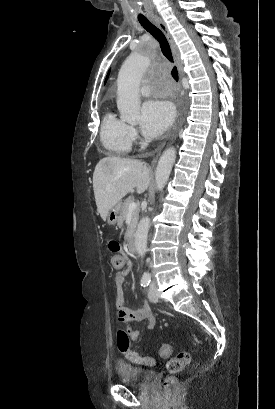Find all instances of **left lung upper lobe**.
Instances as JSON below:
<instances>
[{"mask_svg": "<svg viewBox=\"0 0 275 409\" xmlns=\"http://www.w3.org/2000/svg\"><path fill=\"white\" fill-rule=\"evenodd\" d=\"M108 76H109V73L107 74L106 80H107Z\"/></svg>", "mask_w": 275, "mask_h": 409, "instance_id": "left-lung-upper-lobe-1", "label": "left lung upper lobe"}]
</instances>
